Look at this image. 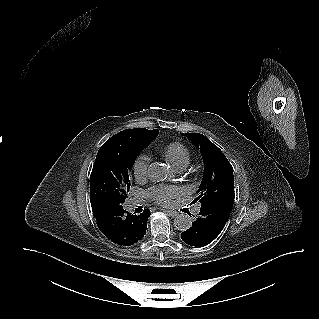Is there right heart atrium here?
Masks as SVG:
<instances>
[{"instance_id": "1", "label": "right heart atrium", "mask_w": 319, "mask_h": 319, "mask_svg": "<svg viewBox=\"0 0 319 319\" xmlns=\"http://www.w3.org/2000/svg\"><path fill=\"white\" fill-rule=\"evenodd\" d=\"M149 157L141 153L133 161V173L137 180H144L148 175Z\"/></svg>"}]
</instances>
